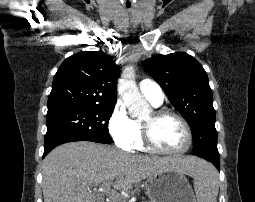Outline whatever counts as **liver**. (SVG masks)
I'll return each instance as SVG.
<instances>
[{
  "label": "liver",
  "mask_w": 255,
  "mask_h": 202,
  "mask_svg": "<svg viewBox=\"0 0 255 202\" xmlns=\"http://www.w3.org/2000/svg\"><path fill=\"white\" fill-rule=\"evenodd\" d=\"M200 163L204 161L192 156L150 157L89 141L66 143L43 161L44 202H95L93 185L116 179L113 187L128 191L134 183L164 171L194 176Z\"/></svg>",
  "instance_id": "liver-1"
}]
</instances>
